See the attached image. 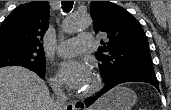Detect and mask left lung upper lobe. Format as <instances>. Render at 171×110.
I'll use <instances>...</instances> for the list:
<instances>
[{"instance_id":"5c2ea615","label":"left lung upper lobe","mask_w":171,"mask_h":110,"mask_svg":"<svg viewBox=\"0 0 171 110\" xmlns=\"http://www.w3.org/2000/svg\"><path fill=\"white\" fill-rule=\"evenodd\" d=\"M90 12L95 32L107 37L95 54L104 81L125 72H154L149 44L137 19L110 1H92Z\"/></svg>"}]
</instances>
